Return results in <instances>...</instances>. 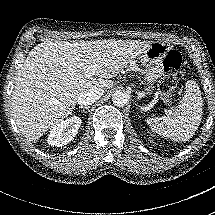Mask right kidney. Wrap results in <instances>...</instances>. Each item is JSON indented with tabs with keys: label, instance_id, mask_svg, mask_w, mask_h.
I'll return each mask as SVG.
<instances>
[{
	"label": "right kidney",
	"instance_id": "right-kidney-1",
	"mask_svg": "<svg viewBox=\"0 0 215 215\" xmlns=\"http://www.w3.org/2000/svg\"><path fill=\"white\" fill-rule=\"evenodd\" d=\"M81 125L79 117H71L65 121H59L54 125L48 135V144L63 147L71 142L76 136Z\"/></svg>",
	"mask_w": 215,
	"mask_h": 215
}]
</instances>
